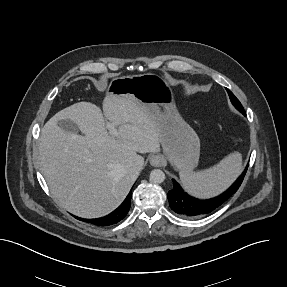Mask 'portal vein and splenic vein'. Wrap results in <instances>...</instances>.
I'll list each match as a JSON object with an SVG mask.
<instances>
[{
  "label": "portal vein and splenic vein",
  "mask_w": 287,
  "mask_h": 287,
  "mask_svg": "<svg viewBox=\"0 0 287 287\" xmlns=\"http://www.w3.org/2000/svg\"><path fill=\"white\" fill-rule=\"evenodd\" d=\"M107 129L109 130L111 135H113L115 137L119 136V133L113 124H107Z\"/></svg>",
  "instance_id": "portal-vein-and-splenic-vein-1"
}]
</instances>
